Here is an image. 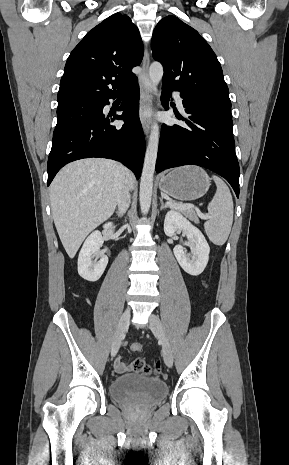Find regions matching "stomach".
<instances>
[{
  "mask_svg": "<svg viewBox=\"0 0 289 465\" xmlns=\"http://www.w3.org/2000/svg\"><path fill=\"white\" fill-rule=\"evenodd\" d=\"M210 187V178L204 169L187 165L178 167L163 175L159 181L162 192L171 197L191 201L206 194Z\"/></svg>",
  "mask_w": 289,
  "mask_h": 465,
  "instance_id": "0dacf381",
  "label": "stomach"
}]
</instances>
